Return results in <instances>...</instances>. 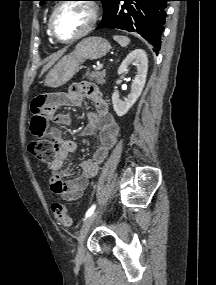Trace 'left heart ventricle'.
Segmentation results:
<instances>
[{"instance_id": "left-heart-ventricle-1", "label": "left heart ventricle", "mask_w": 216, "mask_h": 285, "mask_svg": "<svg viewBox=\"0 0 216 285\" xmlns=\"http://www.w3.org/2000/svg\"><path fill=\"white\" fill-rule=\"evenodd\" d=\"M90 9L79 3L62 7L54 19V31L61 39L71 38L80 33L90 22Z\"/></svg>"}]
</instances>
